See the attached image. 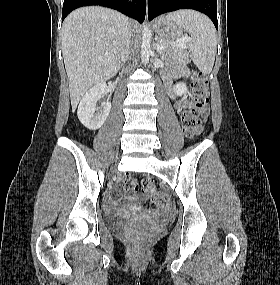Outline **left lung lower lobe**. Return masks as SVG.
Masks as SVG:
<instances>
[{
	"label": "left lung lower lobe",
	"instance_id": "0a47b994",
	"mask_svg": "<svg viewBox=\"0 0 280 285\" xmlns=\"http://www.w3.org/2000/svg\"><path fill=\"white\" fill-rule=\"evenodd\" d=\"M178 9H194L206 14L218 29L217 0H148V19Z\"/></svg>",
	"mask_w": 280,
	"mask_h": 285
}]
</instances>
